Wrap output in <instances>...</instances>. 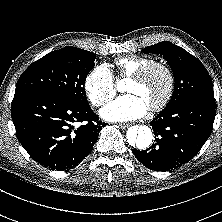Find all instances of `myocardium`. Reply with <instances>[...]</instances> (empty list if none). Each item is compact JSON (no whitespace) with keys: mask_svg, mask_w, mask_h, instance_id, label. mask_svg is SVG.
Here are the masks:
<instances>
[{"mask_svg":"<svg viewBox=\"0 0 222 222\" xmlns=\"http://www.w3.org/2000/svg\"><path fill=\"white\" fill-rule=\"evenodd\" d=\"M156 69H160V70H162L166 74V77H167V88H166V91H165L163 97L160 99V101H158L153 106L149 107V109L152 112H157V111L162 110L170 102V100H171V98H172V96L174 94V90H175V75H174L173 70L171 69L170 66H168L165 63L154 61L152 63H149V64L143 66L137 72H135L134 74H132L129 77V80L136 81V82H141L152 71H154Z\"/></svg>","mask_w":222,"mask_h":222,"instance_id":"obj_1","label":"myocardium"}]
</instances>
